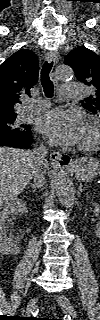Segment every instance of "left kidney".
Listing matches in <instances>:
<instances>
[{
    "instance_id": "left-kidney-1",
    "label": "left kidney",
    "mask_w": 100,
    "mask_h": 320,
    "mask_svg": "<svg viewBox=\"0 0 100 320\" xmlns=\"http://www.w3.org/2000/svg\"><path fill=\"white\" fill-rule=\"evenodd\" d=\"M96 235L99 236V232L98 231H96Z\"/></svg>"
}]
</instances>
